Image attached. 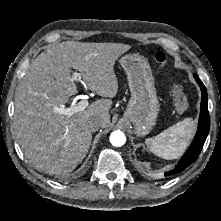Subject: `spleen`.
Segmentation results:
<instances>
[{"instance_id": "1", "label": "spleen", "mask_w": 221, "mask_h": 221, "mask_svg": "<svg viewBox=\"0 0 221 221\" xmlns=\"http://www.w3.org/2000/svg\"><path fill=\"white\" fill-rule=\"evenodd\" d=\"M194 129V121L191 118H185L157 136L147 138L145 144L158 157L168 160L177 159L187 148Z\"/></svg>"}]
</instances>
